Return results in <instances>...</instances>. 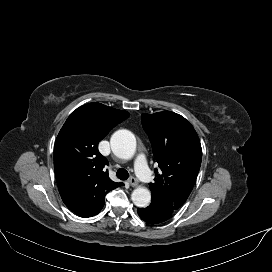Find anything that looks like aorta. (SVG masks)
Listing matches in <instances>:
<instances>
[{"mask_svg":"<svg viewBox=\"0 0 272 272\" xmlns=\"http://www.w3.org/2000/svg\"><path fill=\"white\" fill-rule=\"evenodd\" d=\"M112 152L119 158L130 159L136 151V139L129 130H118L110 139ZM131 199L137 207H147L151 201V193L145 187H137L133 190Z\"/></svg>","mask_w":272,"mask_h":272,"instance_id":"obj_1","label":"aorta"}]
</instances>
